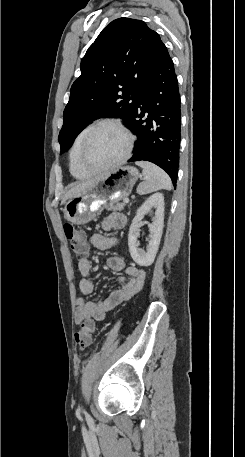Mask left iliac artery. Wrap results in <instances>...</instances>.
<instances>
[{
    "label": "left iliac artery",
    "mask_w": 245,
    "mask_h": 457,
    "mask_svg": "<svg viewBox=\"0 0 245 457\" xmlns=\"http://www.w3.org/2000/svg\"><path fill=\"white\" fill-rule=\"evenodd\" d=\"M86 416L88 417V414L85 412Z\"/></svg>",
    "instance_id": "obj_1"
}]
</instances>
